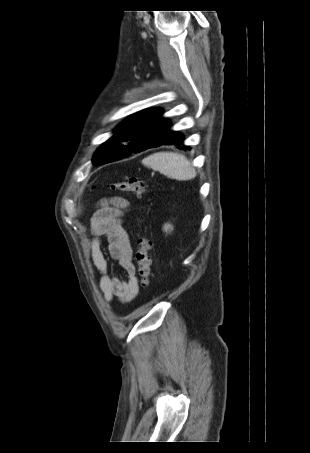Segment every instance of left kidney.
<instances>
[{"label":"left kidney","mask_w":310,"mask_h":453,"mask_svg":"<svg viewBox=\"0 0 310 453\" xmlns=\"http://www.w3.org/2000/svg\"><path fill=\"white\" fill-rule=\"evenodd\" d=\"M170 229H172V226H171V225L166 224V225L164 226V230H165L166 232H167L168 230H170Z\"/></svg>","instance_id":"obj_1"}]
</instances>
